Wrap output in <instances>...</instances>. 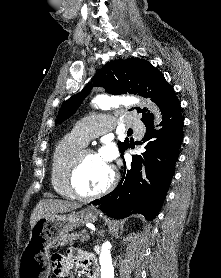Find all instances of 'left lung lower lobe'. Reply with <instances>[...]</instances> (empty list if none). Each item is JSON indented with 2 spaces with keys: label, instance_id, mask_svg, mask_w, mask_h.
I'll list each match as a JSON object with an SVG mask.
<instances>
[{
  "label": "left lung lower lobe",
  "instance_id": "0a47b994",
  "mask_svg": "<svg viewBox=\"0 0 221 278\" xmlns=\"http://www.w3.org/2000/svg\"><path fill=\"white\" fill-rule=\"evenodd\" d=\"M146 151L135 155L131 168H125L118 186L106 196L91 202L108 216L124 218L141 214L151 221L158 214L167 194L183 142V117L179 100L163 114L159 130L145 123Z\"/></svg>",
  "mask_w": 221,
  "mask_h": 278
}]
</instances>
